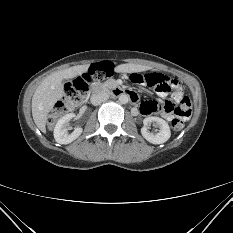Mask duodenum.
<instances>
[{
	"mask_svg": "<svg viewBox=\"0 0 233 233\" xmlns=\"http://www.w3.org/2000/svg\"><path fill=\"white\" fill-rule=\"evenodd\" d=\"M103 90H104V85L101 82H96L91 87L92 93H101ZM112 93L115 96H127L132 101H135L137 99V96L135 93L127 91V90L123 89L122 87H115L112 90Z\"/></svg>",
	"mask_w": 233,
	"mask_h": 233,
	"instance_id": "obj_1",
	"label": "duodenum"
}]
</instances>
